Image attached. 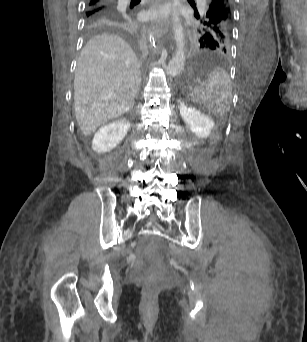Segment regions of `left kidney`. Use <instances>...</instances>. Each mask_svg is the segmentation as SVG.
I'll use <instances>...</instances> for the list:
<instances>
[{
    "label": "left kidney",
    "instance_id": "5707ae66",
    "mask_svg": "<svg viewBox=\"0 0 307 342\" xmlns=\"http://www.w3.org/2000/svg\"><path fill=\"white\" fill-rule=\"evenodd\" d=\"M179 112L189 130L198 136V138H208L215 124L210 116H205L199 110L190 108L184 102L179 104Z\"/></svg>",
    "mask_w": 307,
    "mask_h": 342
}]
</instances>
